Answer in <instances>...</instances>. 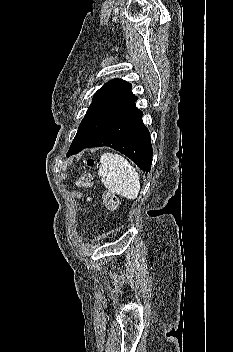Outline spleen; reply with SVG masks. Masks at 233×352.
<instances>
[{"mask_svg": "<svg viewBox=\"0 0 233 352\" xmlns=\"http://www.w3.org/2000/svg\"><path fill=\"white\" fill-rule=\"evenodd\" d=\"M98 175L112 193L134 200L140 191L139 175L121 155L104 153L100 158Z\"/></svg>", "mask_w": 233, "mask_h": 352, "instance_id": "spleen-1", "label": "spleen"}]
</instances>
